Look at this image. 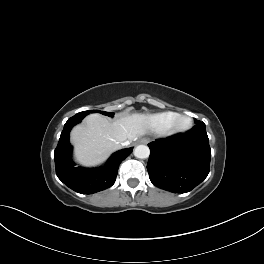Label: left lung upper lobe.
<instances>
[{"mask_svg": "<svg viewBox=\"0 0 264 264\" xmlns=\"http://www.w3.org/2000/svg\"><path fill=\"white\" fill-rule=\"evenodd\" d=\"M195 123H196L197 125L204 124V123H201L200 121H197V120H195Z\"/></svg>", "mask_w": 264, "mask_h": 264, "instance_id": "left-lung-upper-lobe-1", "label": "left lung upper lobe"}]
</instances>
